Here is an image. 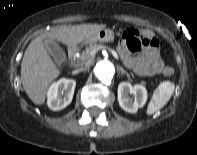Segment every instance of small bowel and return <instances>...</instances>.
<instances>
[{"label":"small bowel","instance_id":"1","mask_svg":"<svg viewBox=\"0 0 197 155\" xmlns=\"http://www.w3.org/2000/svg\"><path fill=\"white\" fill-rule=\"evenodd\" d=\"M118 50L124 65L133 69L139 76H151L161 73L164 69L163 62L158 53V46H149L145 53L133 55L127 46V41L123 38Z\"/></svg>","mask_w":197,"mask_h":155}]
</instances>
